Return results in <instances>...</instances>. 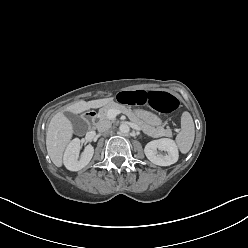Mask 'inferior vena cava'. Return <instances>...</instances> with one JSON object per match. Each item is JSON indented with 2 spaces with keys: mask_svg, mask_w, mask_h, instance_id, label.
Returning a JSON list of instances; mask_svg holds the SVG:
<instances>
[{
  "mask_svg": "<svg viewBox=\"0 0 248 248\" xmlns=\"http://www.w3.org/2000/svg\"><path fill=\"white\" fill-rule=\"evenodd\" d=\"M111 122L108 120H100L97 123V129L99 132H105L111 128Z\"/></svg>",
  "mask_w": 248,
  "mask_h": 248,
  "instance_id": "1",
  "label": "inferior vena cava"
}]
</instances>
